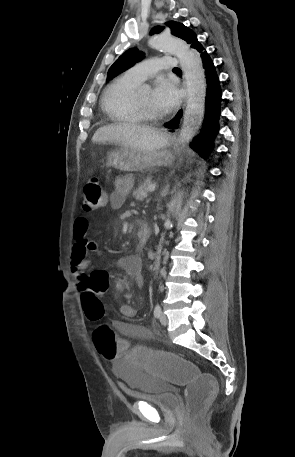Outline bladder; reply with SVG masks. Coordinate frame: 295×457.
<instances>
[{"instance_id": "1", "label": "bladder", "mask_w": 295, "mask_h": 457, "mask_svg": "<svg viewBox=\"0 0 295 457\" xmlns=\"http://www.w3.org/2000/svg\"><path fill=\"white\" fill-rule=\"evenodd\" d=\"M122 361H116L112 370L132 397L153 403L161 411H180L181 404L169 390L167 378H160V374H143L140 366H124Z\"/></svg>"}]
</instances>
